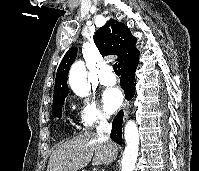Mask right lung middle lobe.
<instances>
[{"label": "right lung middle lobe", "mask_w": 199, "mask_h": 171, "mask_svg": "<svg viewBox=\"0 0 199 171\" xmlns=\"http://www.w3.org/2000/svg\"><path fill=\"white\" fill-rule=\"evenodd\" d=\"M64 100L65 99L53 102L52 108H53V116L54 117H59V118L61 117Z\"/></svg>", "instance_id": "1"}]
</instances>
